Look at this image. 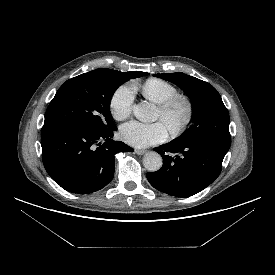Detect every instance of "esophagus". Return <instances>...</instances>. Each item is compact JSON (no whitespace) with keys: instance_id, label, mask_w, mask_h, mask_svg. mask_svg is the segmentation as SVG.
I'll return each instance as SVG.
<instances>
[{"instance_id":"esophagus-1","label":"esophagus","mask_w":275,"mask_h":275,"mask_svg":"<svg viewBox=\"0 0 275 275\" xmlns=\"http://www.w3.org/2000/svg\"><path fill=\"white\" fill-rule=\"evenodd\" d=\"M135 153L138 154V155H143L146 153L145 150H141V149H135Z\"/></svg>"}]
</instances>
